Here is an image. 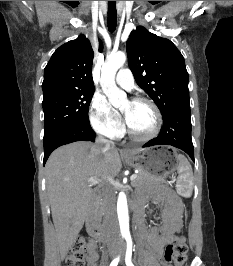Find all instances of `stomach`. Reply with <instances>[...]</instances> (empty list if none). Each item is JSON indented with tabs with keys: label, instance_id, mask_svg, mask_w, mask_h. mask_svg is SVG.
I'll use <instances>...</instances> for the list:
<instances>
[{
	"label": "stomach",
	"instance_id": "0dacf381",
	"mask_svg": "<svg viewBox=\"0 0 233 266\" xmlns=\"http://www.w3.org/2000/svg\"><path fill=\"white\" fill-rule=\"evenodd\" d=\"M178 147H150L142 151H131L124 156L125 161L139 169L160 176L161 180H167L168 176H173V169L180 166L182 156H177Z\"/></svg>",
	"mask_w": 233,
	"mask_h": 266
}]
</instances>
